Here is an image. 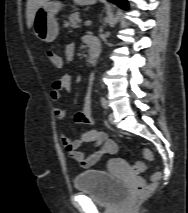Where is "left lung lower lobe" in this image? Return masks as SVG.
<instances>
[{
  "instance_id": "left-lung-lower-lobe-1",
  "label": "left lung lower lobe",
  "mask_w": 188,
  "mask_h": 213,
  "mask_svg": "<svg viewBox=\"0 0 188 213\" xmlns=\"http://www.w3.org/2000/svg\"><path fill=\"white\" fill-rule=\"evenodd\" d=\"M109 1L116 3L121 8H124V9L127 8V1L126 0H109Z\"/></svg>"
}]
</instances>
